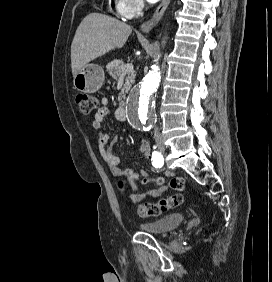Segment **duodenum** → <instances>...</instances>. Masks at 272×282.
<instances>
[{"mask_svg": "<svg viewBox=\"0 0 272 282\" xmlns=\"http://www.w3.org/2000/svg\"><path fill=\"white\" fill-rule=\"evenodd\" d=\"M125 106H126V101L125 100H122L120 105H119V108H118V114L119 116L121 117L125 111Z\"/></svg>", "mask_w": 272, "mask_h": 282, "instance_id": "obj_1", "label": "duodenum"}]
</instances>
